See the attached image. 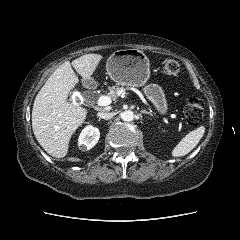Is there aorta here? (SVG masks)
<instances>
[{"mask_svg":"<svg viewBox=\"0 0 240 240\" xmlns=\"http://www.w3.org/2000/svg\"><path fill=\"white\" fill-rule=\"evenodd\" d=\"M135 117V114L133 111L131 110H127V111H124L122 114H121V118L123 121H126V122H129V121H132Z\"/></svg>","mask_w":240,"mask_h":240,"instance_id":"obj_1","label":"aorta"}]
</instances>
